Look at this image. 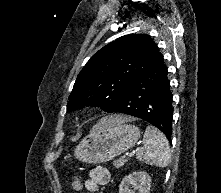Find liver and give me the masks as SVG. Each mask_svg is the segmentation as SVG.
I'll return each instance as SVG.
<instances>
[{
	"label": "liver",
	"instance_id": "6515ba94",
	"mask_svg": "<svg viewBox=\"0 0 221 193\" xmlns=\"http://www.w3.org/2000/svg\"><path fill=\"white\" fill-rule=\"evenodd\" d=\"M130 118L129 117H123V116H110V117H106L103 118L100 121L101 126L103 127H111L114 125H118V124H122L125 123L127 121H129Z\"/></svg>",
	"mask_w": 221,
	"mask_h": 193
}]
</instances>
